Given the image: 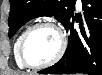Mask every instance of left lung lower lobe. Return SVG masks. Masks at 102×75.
Masks as SVG:
<instances>
[{"label": "left lung lower lobe", "instance_id": "left-lung-lower-lobe-1", "mask_svg": "<svg viewBox=\"0 0 102 75\" xmlns=\"http://www.w3.org/2000/svg\"><path fill=\"white\" fill-rule=\"evenodd\" d=\"M82 6L85 25L72 14L64 25L69 32L65 54L39 73L102 75V1L82 0ZM75 20L79 22V33L73 29Z\"/></svg>", "mask_w": 102, "mask_h": 75}]
</instances>
